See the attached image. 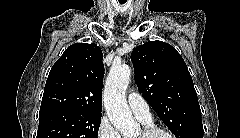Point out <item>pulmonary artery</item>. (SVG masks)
Returning a JSON list of instances; mask_svg holds the SVG:
<instances>
[{
  "mask_svg": "<svg viewBox=\"0 0 240 138\" xmlns=\"http://www.w3.org/2000/svg\"><path fill=\"white\" fill-rule=\"evenodd\" d=\"M128 105L133 114L141 120H150L151 113L147 102L138 93L132 92L127 97Z\"/></svg>",
  "mask_w": 240,
  "mask_h": 138,
  "instance_id": "pulmonary-artery-1",
  "label": "pulmonary artery"
}]
</instances>
